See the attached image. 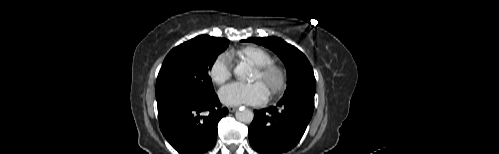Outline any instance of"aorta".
<instances>
[{"label": "aorta", "instance_id": "aorta-1", "mask_svg": "<svg viewBox=\"0 0 499 154\" xmlns=\"http://www.w3.org/2000/svg\"><path fill=\"white\" fill-rule=\"evenodd\" d=\"M251 67L246 64V63H241L239 65H237L234 69V74L239 78V79H242V80H247L250 78L251 76ZM235 117L236 119L239 121V122H242V123H251L253 118H254V114L251 110L249 109H240L238 110L236 113H235Z\"/></svg>", "mask_w": 499, "mask_h": 154}]
</instances>
